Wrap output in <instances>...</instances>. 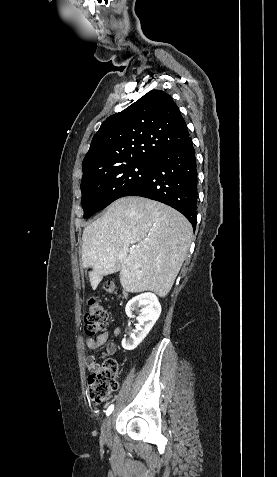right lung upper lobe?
Segmentation results:
<instances>
[{"label":"right lung upper lobe","instance_id":"1","mask_svg":"<svg viewBox=\"0 0 277 477\" xmlns=\"http://www.w3.org/2000/svg\"><path fill=\"white\" fill-rule=\"evenodd\" d=\"M188 138L185 120L172 97L152 90L102 123L82 168L87 171L136 161L153 162Z\"/></svg>","mask_w":277,"mask_h":477}]
</instances>
